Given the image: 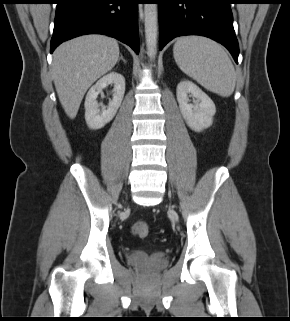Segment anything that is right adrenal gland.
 <instances>
[{
  "label": "right adrenal gland",
  "instance_id": "1",
  "mask_svg": "<svg viewBox=\"0 0 290 321\" xmlns=\"http://www.w3.org/2000/svg\"><path fill=\"white\" fill-rule=\"evenodd\" d=\"M119 60H122L124 63H127V61L123 58V56L121 55Z\"/></svg>",
  "mask_w": 290,
  "mask_h": 321
}]
</instances>
